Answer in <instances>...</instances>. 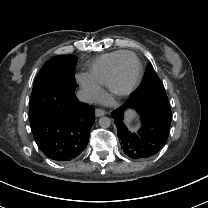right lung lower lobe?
Masks as SVG:
<instances>
[{
	"label": "right lung lower lobe",
	"instance_id": "98d812e1",
	"mask_svg": "<svg viewBox=\"0 0 208 208\" xmlns=\"http://www.w3.org/2000/svg\"><path fill=\"white\" fill-rule=\"evenodd\" d=\"M41 116L30 120L39 149L50 159L68 162L86 148L95 122L94 108L73 95L48 97Z\"/></svg>",
	"mask_w": 208,
	"mask_h": 208
}]
</instances>
